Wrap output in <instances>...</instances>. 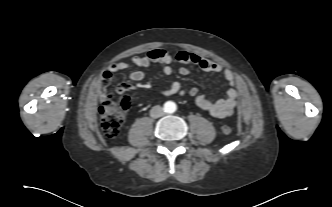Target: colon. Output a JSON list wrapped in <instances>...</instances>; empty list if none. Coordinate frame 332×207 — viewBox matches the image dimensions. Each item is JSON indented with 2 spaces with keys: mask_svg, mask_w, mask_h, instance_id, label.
<instances>
[{
  "mask_svg": "<svg viewBox=\"0 0 332 207\" xmlns=\"http://www.w3.org/2000/svg\"><path fill=\"white\" fill-rule=\"evenodd\" d=\"M128 88V83L119 80L116 84L107 86L104 91L105 100L100 106L99 113L101 130L108 138L116 137L124 123L125 112L131 105L130 97L126 93ZM231 132L230 126L222 127L224 135H229Z\"/></svg>",
  "mask_w": 332,
  "mask_h": 207,
  "instance_id": "obj_1",
  "label": "colon"
}]
</instances>
